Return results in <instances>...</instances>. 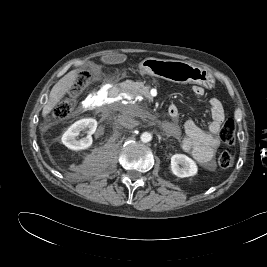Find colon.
<instances>
[{"mask_svg":"<svg viewBox=\"0 0 267 267\" xmlns=\"http://www.w3.org/2000/svg\"><path fill=\"white\" fill-rule=\"evenodd\" d=\"M90 74L87 72L81 73L77 82L74 84L72 93H76L82 88L86 87L90 82ZM72 111V99L68 97L61 101L53 110L52 117L55 120H61L70 115ZM236 126L232 119H227L220 129L221 140L228 145H232L235 142ZM234 157L228 151H223L218 157V165L222 170H226L233 165Z\"/></svg>","mask_w":267,"mask_h":267,"instance_id":"1","label":"colon"}]
</instances>
